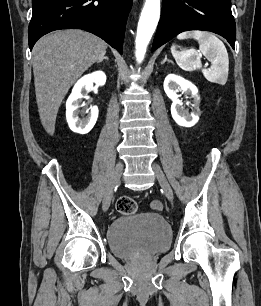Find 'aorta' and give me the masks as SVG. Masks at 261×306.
<instances>
[{"label": "aorta", "mask_w": 261, "mask_h": 306, "mask_svg": "<svg viewBox=\"0 0 261 306\" xmlns=\"http://www.w3.org/2000/svg\"><path fill=\"white\" fill-rule=\"evenodd\" d=\"M160 18V0H146L137 27L136 60L141 63Z\"/></svg>", "instance_id": "obj_1"}]
</instances>
